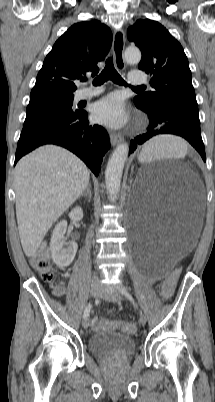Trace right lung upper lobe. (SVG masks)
<instances>
[{"label": "right lung upper lobe", "instance_id": "cb5924a9", "mask_svg": "<svg viewBox=\"0 0 215 402\" xmlns=\"http://www.w3.org/2000/svg\"><path fill=\"white\" fill-rule=\"evenodd\" d=\"M112 44L110 29L100 21L72 25L54 44L39 71L30 99L45 96H73L74 80L86 72L97 74V62Z\"/></svg>", "mask_w": 215, "mask_h": 402}]
</instances>
